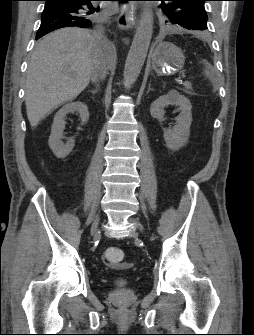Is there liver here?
I'll return each mask as SVG.
<instances>
[{
    "label": "liver",
    "mask_w": 254,
    "mask_h": 335,
    "mask_svg": "<svg viewBox=\"0 0 254 335\" xmlns=\"http://www.w3.org/2000/svg\"><path fill=\"white\" fill-rule=\"evenodd\" d=\"M97 59L111 66L115 46L107 40H95L86 29H59L38 43L25 87L27 117L32 127L88 86Z\"/></svg>",
    "instance_id": "1"
}]
</instances>
